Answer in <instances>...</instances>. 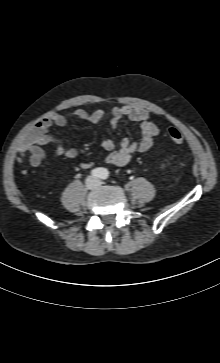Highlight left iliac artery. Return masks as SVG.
<instances>
[{
	"label": "left iliac artery",
	"mask_w": 220,
	"mask_h": 363,
	"mask_svg": "<svg viewBox=\"0 0 220 363\" xmlns=\"http://www.w3.org/2000/svg\"><path fill=\"white\" fill-rule=\"evenodd\" d=\"M109 177V171L107 169H103L102 170V175H101V178L102 179H107Z\"/></svg>",
	"instance_id": "left-iliac-artery-1"
}]
</instances>
